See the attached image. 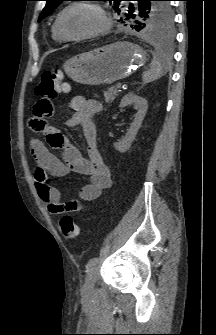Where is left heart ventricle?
I'll return each mask as SVG.
<instances>
[{
  "instance_id": "1",
  "label": "left heart ventricle",
  "mask_w": 216,
  "mask_h": 335,
  "mask_svg": "<svg viewBox=\"0 0 216 335\" xmlns=\"http://www.w3.org/2000/svg\"><path fill=\"white\" fill-rule=\"evenodd\" d=\"M103 25L100 14L91 7L77 6L67 11L61 19L63 31L78 36L99 29Z\"/></svg>"
}]
</instances>
